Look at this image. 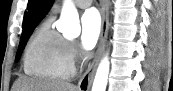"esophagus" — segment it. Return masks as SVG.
Returning <instances> with one entry per match:
<instances>
[{
    "label": "esophagus",
    "mask_w": 173,
    "mask_h": 91,
    "mask_svg": "<svg viewBox=\"0 0 173 91\" xmlns=\"http://www.w3.org/2000/svg\"><path fill=\"white\" fill-rule=\"evenodd\" d=\"M100 5H101V16H102L100 41L92 63L89 65V67L86 69L81 79L79 80L78 83L79 91H89L91 89L97 66L105 50L108 27H109V1L100 0Z\"/></svg>",
    "instance_id": "34e87169"
}]
</instances>
